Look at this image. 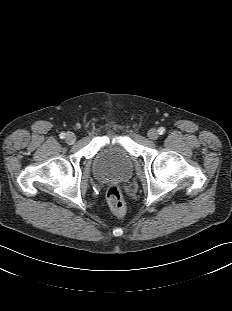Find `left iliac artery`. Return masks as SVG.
<instances>
[{"label": "left iliac artery", "instance_id": "1", "mask_svg": "<svg viewBox=\"0 0 232 311\" xmlns=\"http://www.w3.org/2000/svg\"><path fill=\"white\" fill-rule=\"evenodd\" d=\"M158 132H159L160 135L164 134L165 133V128L164 127H160L158 129Z\"/></svg>", "mask_w": 232, "mask_h": 311}]
</instances>
